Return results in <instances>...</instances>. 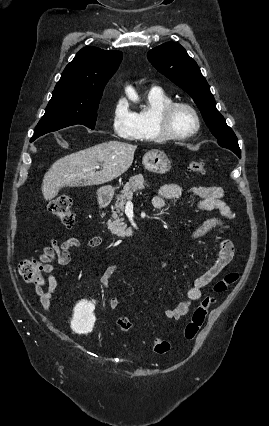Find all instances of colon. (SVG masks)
<instances>
[{
  "label": "colon",
  "mask_w": 269,
  "mask_h": 426,
  "mask_svg": "<svg viewBox=\"0 0 269 426\" xmlns=\"http://www.w3.org/2000/svg\"><path fill=\"white\" fill-rule=\"evenodd\" d=\"M189 169L198 174H204L206 167L203 162L191 161ZM50 213L56 217L62 224L69 226L74 223L75 213L72 200L69 196L60 195L50 201L48 205ZM17 270L22 280L30 285H41L43 283L42 266L32 258L21 259L17 264ZM237 272H229L223 278L215 282L213 292L221 294L226 292L238 280ZM213 295H206L194 309L189 322L184 329V337L187 340H193L201 329L206 319L207 313L211 305L214 303ZM132 322L126 317L118 319V327L121 331L128 332L132 329ZM153 350L158 354H167L171 350V345L163 339H155L152 343Z\"/></svg>",
  "instance_id": "5ec220e1"
}]
</instances>
